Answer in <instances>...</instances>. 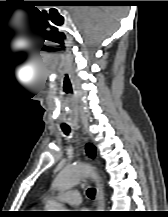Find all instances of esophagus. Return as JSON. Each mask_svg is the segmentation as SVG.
<instances>
[{"label": "esophagus", "instance_id": "1", "mask_svg": "<svg viewBox=\"0 0 168 217\" xmlns=\"http://www.w3.org/2000/svg\"><path fill=\"white\" fill-rule=\"evenodd\" d=\"M104 193L100 183H96V208L100 211L104 208Z\"/></svg>", "mask_w": 168, "mask_h": 217}]
</instances>
